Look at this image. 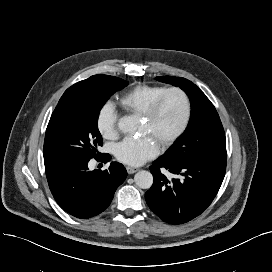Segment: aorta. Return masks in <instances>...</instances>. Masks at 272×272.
<instances>
[{
    "mask_svg": "<svg viewBox=\"0 0 272 272\" xmlns=\"http://www.w3.org/2000/svg\"><path fill=\"white\" fill-rule=\"evenodd\" d=\"M137 122L131 116H124L118 121V129L123 133H132L136 130ZM135 184L141 189H149L153 184V176L149 171L141 170L134 176Z\"/></svg>",
    "mask_w": 272,
    "mask_h": 272,
    "instance_id": "1",
    "label": "aorta"
}]
</instances>
